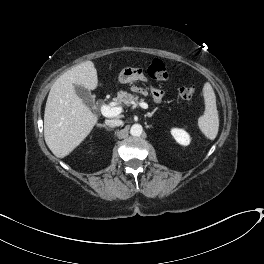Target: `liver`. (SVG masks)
Masks as SVG:
<instances>
[{"label":"liver","instance_id":"obj_1","mask_svg":"<svg viewBox=\"0 0 264 264\" xmlns=\"http://www.w3.org/2000/svg\"><path fill=\"white\" fill-rule=\"evenodd\" d=\"M75 85L88 90L97 88V70L92 61L66 71L50 89L44 113V138L58 158L69 155L98 122V117L76 94Z\"/></svg>","mask_w":264,"mask_h":264}]
</instances>
